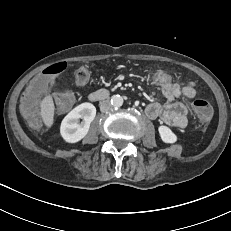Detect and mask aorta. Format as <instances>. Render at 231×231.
I'll list each match as a JSON object with an SVG mask.
<instances>
[{
    "instance_id": "obj_1",
    "label": "aorta",
    "mask_w": 231,
    "mask_h": 231,
    "mask_svg": "<svg viewBox=\"0 0 231 231\" xmlns=\"http://www.w3.org/2000/svg\"><path fill=\"white\" fill-rule=\"evenodd\" d=\"M123 97L120 96V95H113L112 98H111V104L113 107H121L123 105Z\"/></svg>"
}]
</instances>
